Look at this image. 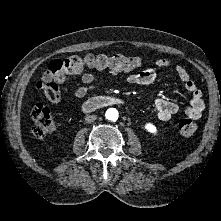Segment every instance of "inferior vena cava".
Returning <instances> with one entry per match:
<instances>
[{
  "instance_id": "1",
  "label": "inferior vena cava",
  "mask_w": 221,
  "mask_h": 221,
  "mask_svg": "<svg viewBox=\"0 0 221 221\" xmlns=\"http://www.w3.org/2000/svg\"><path fill=\"white\" fill-rule=\"evenodd\" d=\"M96 118H97L96 115H87L85 117V121L86 123H92L96 120Z\"/></svg>"
}]
</instances>
